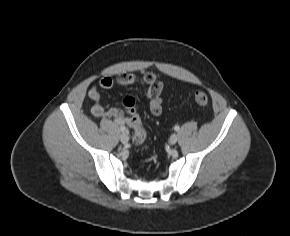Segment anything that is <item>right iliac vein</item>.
Wrapping results in <instances>:
<instances>
[{"label": "right iliac vein", "instance_id": "right-iliac-vein-1", "mask_svg": "<svg viewBox=\"0 0 290 236\" xmlns=\"http://www.w3.org/2000/svg\"><path fill=\"white\" fill-rule=\"evenodd\" d=\"M120 140L123 144L128 143L129 141V136H128V131L124 130L121 134H120Z\"/></svg>", "mask_w": 290, "mask_h": 236}]
</instances>
